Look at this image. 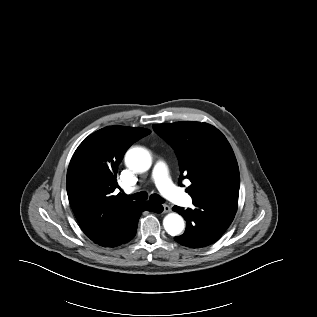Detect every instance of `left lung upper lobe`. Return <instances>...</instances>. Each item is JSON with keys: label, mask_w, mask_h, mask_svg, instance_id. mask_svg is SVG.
I'll list each match as a JSON object with an SVG mask.
<instances>
[{"label": "left lung upper lobe", "mask_w": 317, "mask_h": 317, "mask_svg": "<svg viewBox=\"0 0 317 317\" xmlns=\"http://www.w3.org/2000/svg\"><path fill=\"white\" fill-rule=\"evenodd\" d=\"M153 129L176 151L178 183L187 178L193 204L203 202L237 209L240 175L233 150L214 126L199 122L153 125Z\"/></svg>", "instance_id": "left-lung-upper-lobe-1"}]
</instances>
